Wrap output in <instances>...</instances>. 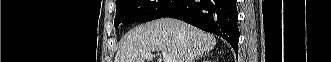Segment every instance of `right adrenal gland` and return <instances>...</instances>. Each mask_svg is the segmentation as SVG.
I'll return each mask as SVG.
<instances>
[{
  "label": "right adrenal gland",
  "mask_w": 331,
  "mask_h": 62,
  "mask_svg": "<svg viewBox=\"0 0 331 62\" xmlns=\"http://www.w3.org/2000/svg\"><path fill=\"white\" fill-rule=\"evenodd\" d=\"M207 54L205 53L204 55H200L197 58H195V60H193V62H195L196 60H198L199 58H202V56H206Z\"/></svg>",
  "instance_id": "1"
}]
</instances>
